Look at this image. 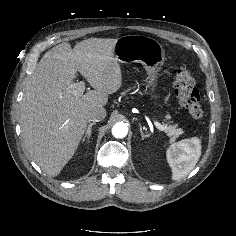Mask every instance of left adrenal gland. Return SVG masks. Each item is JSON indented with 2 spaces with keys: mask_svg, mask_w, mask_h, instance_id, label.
<instances>
[{
  "mask_svg": "<svg viewBox=\"0 0 236 236\" xmlns=\"http://www.w3.org/2000/svg\"><path fill=\"white\" fill-rule=\"evenodd\" d=\"M140 133H141V138H142V139L148 137V134H145V133L143 132L141 125H140Z\"/></svg>",
  "mask_w": 236,
  "mask_h": 236,
  "instance_id": "left-adrenal-gland-1",
  "label": "left adrenal gland"
}]
</instances>
